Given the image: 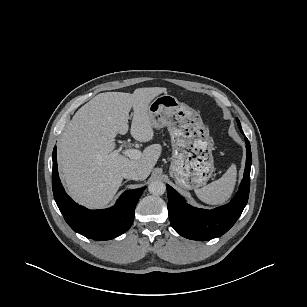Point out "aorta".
Returning a JSON list of instances; mask_svg holds the SVG:
<instances>
[{"label": "aorta", "mask_w": 307, "mask_h": 307, "mask_svg": "<svg viewBox=\"0 0 307 307\" xmlns=\"http://www.w3.org/2000/svg\"><path fill=\"white\" fill-rule=\"evenodd\" d=\"M148 191L152 195H162L166 191V185L159 180H154L148 185Z\"/></svg>", "instance_id": "762f6f07"}]
</instances>
